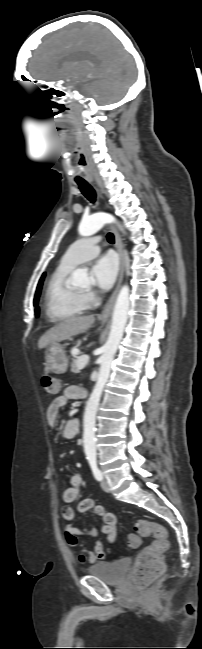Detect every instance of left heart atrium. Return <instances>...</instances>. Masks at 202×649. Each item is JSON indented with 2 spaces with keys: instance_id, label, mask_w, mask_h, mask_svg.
I'll return each mask as SVG.
<instances>
[{
  "instance_id": "39dd6f15",
  "label": "left heart atrium",
  "mask_w": 202,
  "mask_h": 649,
  "mask_svg": "<svg viewBox=\"0 0 202 649\" xmlns=\"http://www.w3.org/2000/svg\"><path fill=\"white\" fill-rule=\"evenodd\" d=\"M117 272L118 261L111 253L99 257L91 268L94 284L102 290H108L113 285Z\"/></svg>"
}]
</instances>
